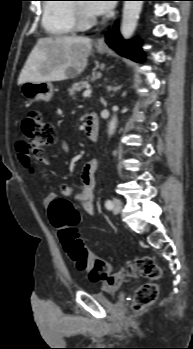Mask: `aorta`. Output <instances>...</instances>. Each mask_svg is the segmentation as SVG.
Listing matches in <instances>:
<instances>
[{
	"label": "aorta",
	"instance_id": "1",
	"mask_svg": "<svg viewBox=\"0 0 193 349\" xmlns=\"http://www.w3.org/2000/svg\"><path fill=\"white\" fill-rule=\"evenodd\" d=\"M143 1H125L121 24V34L124 39H129L137 26ZM117 109V108H116ZM117 126V116L114 115L108 125L109 136L113 135Z\"/></svg>",
	"mask_w": 193,
	"mask_h": 349
}]
</instances>
